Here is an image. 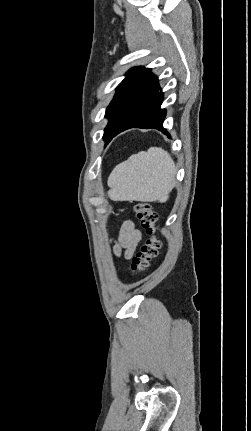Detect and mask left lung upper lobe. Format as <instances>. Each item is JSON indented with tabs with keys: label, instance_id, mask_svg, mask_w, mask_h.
Segmentation results:
<instances>
[{
	"label": "left lung upper lobe",
	"instance_id": "obj_1",
	"mask_svg": "<svg viewBox=\"0 0 251 431\" xmlns=\"http://www.w3.org/2000/svg\"><path fill=\"white\" fill-rule=\"evenodd\" d=\"M151 69L144 67L132 68L126 73V78L116 88V94L106 109L105 117L109 119L103 139L106 144L113 131L123 119L130 104L140 91L141 87L150 75Z\"/></svg>",
	"mask_w": 251,
	"mask_h": 431
}]
</instances>
